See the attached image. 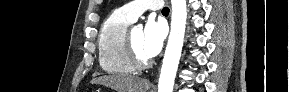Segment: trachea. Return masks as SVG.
<instances>
[{
    "mask_svg": "<svg viewBox=\"0 0 289 92\" xmlns=\"http://www.w3.org/2000/svg\"><path fill=\"white\" fill-rule=\"evenodd\" d=\"M162 12H163V13H169V8H168V7H164V8L162 9Z\"/></svg>",
    "mask_w": 289,
    "mask_h": 92,
    "instance_id": "obj_1",
    "label": "trachea"
}]
</instances>
